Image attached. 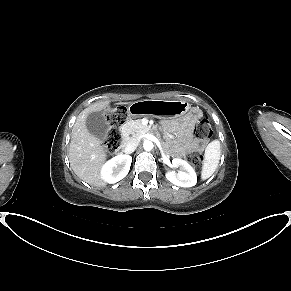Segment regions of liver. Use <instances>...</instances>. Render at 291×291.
I'll return each mask as SVG.
<instances>
[{
  "label": "liver",
  "mask_w": 291,
  "mask_h": 291,
  "mask_svg": "<svg viewBox=\"0 0 291 291\" xmlns=\"http://www.w3.org/2000/svg\"><path fill=\"white\" fill-rule=\"evenodd\" d=\"M108 106V101L95 103L78 115L69 146V161L74 173L81 180L97 187L105 186L100 169L106 160V150L102 142L90 134L85 122L90 113L101 111Z\"/></svg>",
  "instance_id": "liver-1"
}]
</instances>
